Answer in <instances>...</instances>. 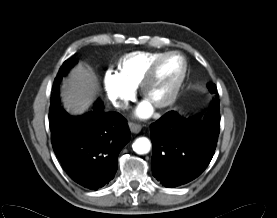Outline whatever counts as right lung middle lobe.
<instances>
[{
	"label": "right lung middle lobe",
	"mask_w": 277,
	"mask_h": 218,
	"mask_svg": "<svg viewBox=\"0 0 277 218\" xmlns=\"http://www.w3.org/2000/svg\"><path fill=\"white\" fill-rule=\"evenodd\" d=\"M77 63L76 59H68L66 60L62 67L60 68L57 77L62 78V76L66 75V72L68 69L72 66H74ZM68 114L61 108L59 105V101H51L50 111H49V123H50V129L55 130L63 121V119Z\"/></svg>",
	"instance_id": "1"
}]
</instances>
